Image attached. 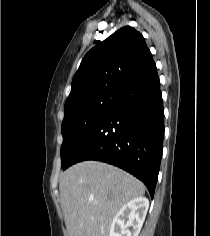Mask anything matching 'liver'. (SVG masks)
<instances>
[{
  "label": "liver",
  "mask_w": 210,
  "mask_h": 236,
  "mask_svg": "<svg viewBox=\"0 0 210 236\" xmlns=\"http://www.w3.org/2000/svg\"><path fill=\"white\" fill-rule=\"evenodd\" d=\"M59 190L69 236H109L118 211L145 193L141 181L98 161L67 169L60 177Z\"/></svg>",
  "instance_id": "liver-1"
}]
</instances>
